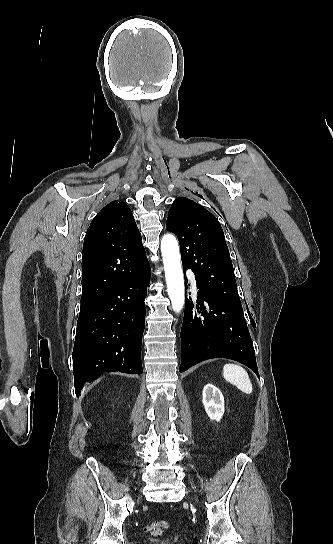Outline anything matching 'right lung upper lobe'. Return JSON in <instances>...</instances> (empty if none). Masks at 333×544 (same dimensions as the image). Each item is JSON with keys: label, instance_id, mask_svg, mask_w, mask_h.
Here are the masks:
<instances>
[{"label": "right lung upper lobe", "instance_id": "obj_1", "mask_svg": "<svg viewBox=\"0 0 333 544\" xmlns=\"http://www.w3.org/2000/svg\"><path fill=\"white\" fill-rule=\"evenodd\" d=\"M141 241L125 202L113 201L95 216L83 244L81 303L105 295L148 264Z\"/></svg>", "mask_w": 333, "mask_h": 544}]
</instances>
